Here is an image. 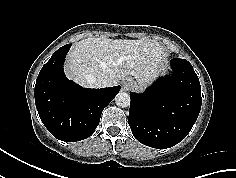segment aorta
Instances as JSON below:
<instances>
[{
  "instance_id": "1",
  "label": "aorta",
  "mask_w": 236,
  "mask_h": 178,
  "mask_svg": "<svg viewBox=\"0 0 236 178\" xmlns=\"http://www.w3.org/2000/svg\"><path fill=\"white\" fill-rule=\"evenodd\" d=\"M130 95L126 92H119L115 97V103L118 107L125 108L130 105Z\"/></svg>"
}]
</instances>
